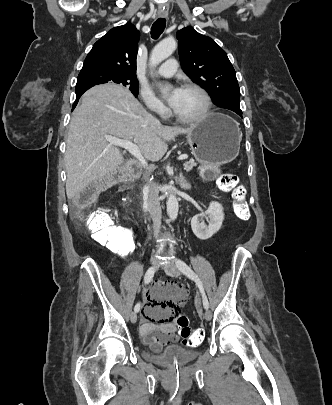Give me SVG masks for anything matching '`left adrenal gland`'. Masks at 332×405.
<instances>
[{
    "instance_id": "1",
    "label": "left adrenal gland",
    "mask_w": 332,
    "mask_h": 405,
    "mask_svg": "<svg viewBox=\"0 0 332 405\" xmlns=\"http://www.w3.org/2000/svg\"><path fill=\"white\" fill-rule=\"evenodd\" d=\"M179 185L181 188L184 189H190L191 185L189 184V182H187L182 174V172L179 175Z\"/></svg>"
}]
</instances>
